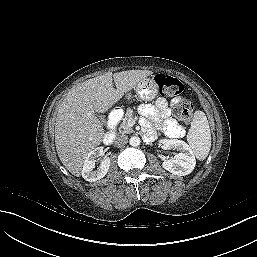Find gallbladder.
Here are the masks:
<instances>
[{"label": "gallbladder", "instance_id": "1", "mask_svg": "<svg viewBox=\"0 0 257 257\" xmlns=\"http://www.w3.org/2000/svg\"><path fill=\"white\" fill-rule=\"evenodd\" d=\"M98 118H99V120H100L102 123L105 122V117H104L103 115L98 114Z\"/></svg>", "mask_w": 257, "mask_h": 257}]
</instances>
